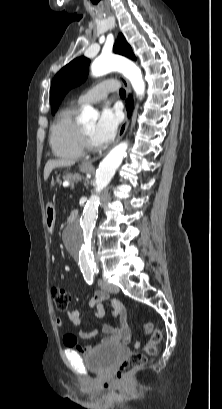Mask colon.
<instances>
[{
  "label": "colon",
  "instance_id": "obj_1",
  "mask_svg": "<svg viewBox=\"0 0 222 409\" xmlns=\"http://www.w3.org/2000/svg\"><path fill=\"white\" fill-rule=\"evenodd\" d=\"M51 292L56 308L61 311L66 310L70 301L69 292L61 287H53ZM142 331L144 334L152 333V336L149 342L144 346L143 352L130 354L119 365L116 372V380L118 382H125L133 371L145 365L148 356H152L157 352V346L162 339L161 331L158 328H154L151 323H145L142 326Z\"/></svg>",
  "mask_w": 222,
  "mask_h": 409
}]
</instances>
